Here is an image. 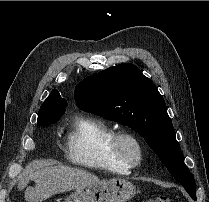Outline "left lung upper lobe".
I'll list each match as a JSON object with an SVG mask.
<instances>
[{"label":"left lung upper lobe","mask_w":209,"mask_h":202,"mask_svg":"<svg viewBox=\"0 0 209 202\" xmlns=\"http://www.w3.org/2000/svg\"><path fill=\"white\" fill-rule=\"evenodd\" d=\"M76 105L139 133L191 197L196 185L184 164L162 95L140 69L122 63L82 80L75 87Z\"/></svg>","instance_id":"1"}]
</instances>
